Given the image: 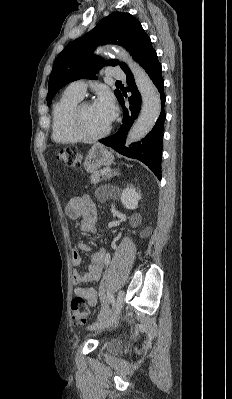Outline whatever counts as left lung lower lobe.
Here are the masks:
<instances>
[{
  "label": "left lung lower lobe",
  "mask_w": 232,
  "mask_h": 399,
  "mask_svg": "<svg viewBox=\"0 0 232 399\" xmlns=\"http://www.w3.org/2000/svg\"><path fill=\"white\" fill-rule=\"evenodd\" d=\"M135 60L145 69L161 96V113L157 123L144 139L138 143H132L125 147V136L138 117L141 108V95L136 87L133 75L130 70L127 76L128 91L132 92L129 99V108L124 107L123 95L118 99L123 107V120L120 129L112 136L99 140L102 144L113 148L118 153L129 158L140 160L145 163L153 173L161 180V152L163 140V126L166 113L164 110L166 96L164 94V81L161 76V64L158 61L156 51L149 41L137 54Z\"/></svg>",
  "instance_id": "0a47b994"
}]
</instances>
